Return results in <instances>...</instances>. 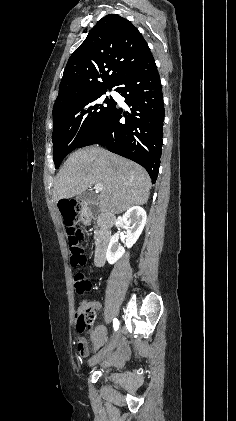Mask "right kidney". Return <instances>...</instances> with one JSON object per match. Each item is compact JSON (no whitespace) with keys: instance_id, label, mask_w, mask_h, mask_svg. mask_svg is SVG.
<instances>
[{"instance_id":"obj_1","label":"right kidney","mask_w":236,"mask_h":421,"mask_svg":"<svg viewBox=\"0 0 236 421\" xmlns=\"http://www.w3.org/2000/svg\"><path fill=\"white\" fill-rule=\"evenodd\" d=\"M146 219V211H144L142 206H131L129 211H126L125 215H123L122 221L125 225L124 229L127 231L125 245L128 249H131L137 239H139L146 225ZM124 253V247H121L118 243V235H113L110 239L106 253V259L109 265H114V263L119 261L120 257L124 255Z\"/></svg>"}]
</instances>
